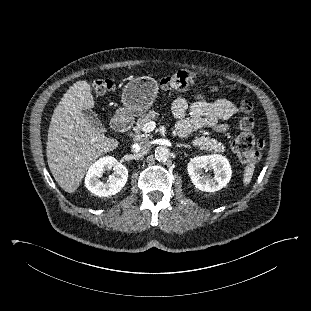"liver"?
<instances>
[{
  "instance_id": "obj_1",
  "label": "liver",
  "mask_w": 311,
  "mask_h": 311,
  "mask_svg": "<svg viewBox=\"0 0 311 311\" xmlns=\"http://www.w3.org/2000/svg\"><path fill=\"white\" fill-rule=\"evenodd\" d=\"M87 81L74 83L56 106L48 130L46 155L58 185L68 193L80 186L90 165L100 156L116 149L118 140L108 138L83 115L94 107Z\"/></svg>"
}]
</instances>
